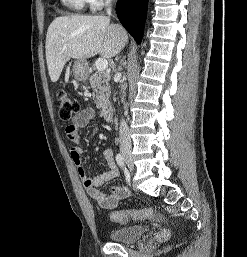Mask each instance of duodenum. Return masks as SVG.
Instances as JSON below:
<instances>
[{
	"label": "duodenum",
	"instance_id": "duodenum-1",
	"mask_svg": "<svg viewBox=\"0 0 247 257\" xmlns=\"http://www.w3.org/2000/svg\"><path fill=\"white\" fill-rule=\"evenodd\" d=\"M101 112L105 120L109 121L112 119L113 108L110 105L103 106Z\"/></svg>",
	"mask_w": 247,
	"mask_h": 257
}]
</instances>
